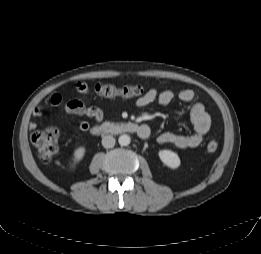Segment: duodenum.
Masks as SVG:
<instances>
[{
  "label": "duodenum",
  "instance_id": "1",
  "mask_svg": "<svg viewBox=\"0 0 261 254\" xmlns=\"http://www.w3.org/2000/svg\"><path fill=\"white\" fill-rule=\"evenodd\" d=\"M145 128L135 122L126 123H103L91 129L93 135L132 134L141 133Z\"/></svg>",
  "mask_w": 261,
  "mask_h": 254
}]
</instances>
